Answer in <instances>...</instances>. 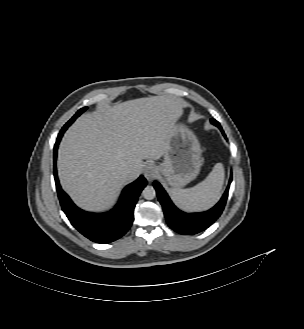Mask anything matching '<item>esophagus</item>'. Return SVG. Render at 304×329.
<instances>
[{
	"instance_id": "obj_1",
	"label": "esophagus",
	"mask_w": 304,
	"mask_h": 329,
	"mask_svg": "<svg viewBox=\"0 0 304 329\" xmlns=\"http://www.w3.org/2000/svg\"><path fill=\"white\" fill-rule=\"evenodd\" d=\"M157 174H158L157 167L153 164H148L144 168V176L148 181L153 180L157 176Z\"/></svg>"
}]
</instances>
